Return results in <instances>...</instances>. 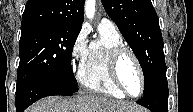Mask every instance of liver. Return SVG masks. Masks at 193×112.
<instances>
[{
  "mask_svg": "<svg viewBox=\"0 0 193 112\" xmlns=\"http://www.w3.org/2000/svg\"><path fill=\"white\" fill-rule=\"evenodd\" d=\"M135 104L111 98L85 95L75 98L47 97L26 112H141Z\"/></svg>",
  "mask_w": 193,
  "mask_h": 112,
  "instance_id": "1",
  "label": "liver"
}]
</instances>
